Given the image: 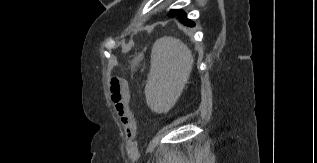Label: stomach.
<instances>
[{"instance_id": "stomach-1", "label": "stomach", "mask_w": 317, "mask_h": 163, "mask_svg": "<svg viewBox=\"0 0 317 163\" xmlns=\"http://www.w3.org/2000/svg\"><path fill=\"white\" fill-rule=\"evenodd\" d=\"M143 59V54H138L134 57V59L131 61L132 67H135L139 64V62Z\"/></svg>"}]
</instances>
